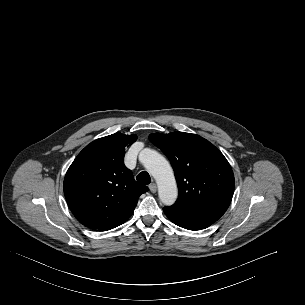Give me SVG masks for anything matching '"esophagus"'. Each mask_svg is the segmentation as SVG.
Masks as SVG:
<instances>
[{
    "instance_id": "obj_1",
    "label": "esophagus",
    "mask_w": 305,
    "mask_h": 305,
    "mask_svg": "<svg viewBox=\"0 0 305 305\" xmlns=\"http://www.w3.org/2000/svg\"><path fill=\"white\" fill-rule=\"evenodd\" d=\"M149 189L152 193H155L157 191V186L156 184L153 182L149 185Z\"/></svg>"
}]
</instances>
